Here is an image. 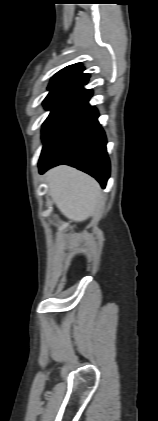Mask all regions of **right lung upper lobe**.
<instances>
[{
	"mask_svg": "<svg viewBox=\"0 0 158 421\" xmlns=\"http://www.w3.org/2000/svg\"><path fill=\"white\" fill-rule=\"evenodd\" d=\"M83 70L84 66H82L81 63H76L63 68L54 75L48 88L64 85H73L81 88L89 79V74L83 73Z\"/></svg>",
	"mask_w": 158,
	"mask_h": 421,
	"instance_id": "cb5924a9",
	"label": "right lung upper lobe"
}]
</instances>
